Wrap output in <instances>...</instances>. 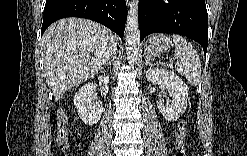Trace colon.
I'll list each match as a JSON object with an SVG mask.
<instances>
[{"instance_id": "1", "label": "colon", "mask_w": 247, "mask_h": 156, "mask_svg": "<svg viewBox=\"0 0 247 156\" xmlns=\"http://www.w3.org/2000/svg\"><path fill=\"white\" fill-rule=\"evenodd\" d=\"M67 118L63 112L58 114V124L56 130V140L61 151H66L68 148V127ZM187 125L185 122L179 124L175 132V154L183 156L185 152V136Z\"/></svg>"}]
</instances>
